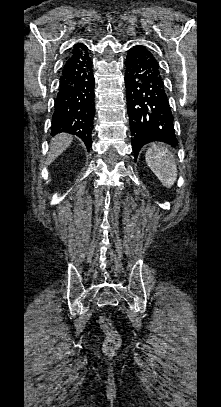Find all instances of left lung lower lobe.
<instances>
[{"label": "left lung lower lobe", "instance_id": "left-lung-lower-lobe-1", "mask_svg": "<svg viewBox=\"0 0 221 407\" xmlns=\"http://www.w3.org/2000/svg\"><path fill=\"white\" fill-rule=\"evenodd\" d=\"M125 65L127 110L135 157L148 142L162 141L176 146L174 117L153 51L144 45L133 46Z\"/></svg>", "mask_w": 221, "mask_h": 407}]
</instances>
